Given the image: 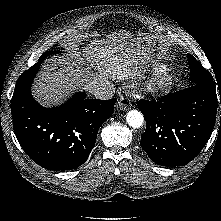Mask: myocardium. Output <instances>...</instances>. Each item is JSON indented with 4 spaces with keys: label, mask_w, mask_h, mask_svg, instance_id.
<instances>
[{
    "label": "myocardium",
    "mask_w": 221,
    "mask_h": 221,
    "mask_svg": "<svg viewBox=\"0 0 221 221\" xmlns=\"http://www.w3.org/2000/svg\"><path fill=\"white\" fill-rule=\"evenodd\" d=\"M177 84V78L173 73L160 72L147 85V90L152 94H167Z\"/></svg>",
    "instance_id": "myocardium-1"
}]
</instances>
